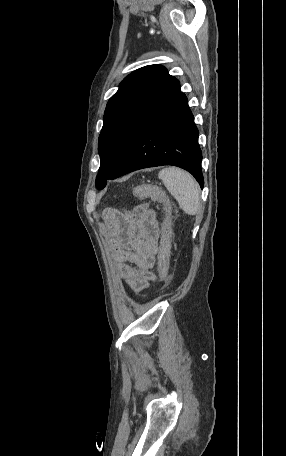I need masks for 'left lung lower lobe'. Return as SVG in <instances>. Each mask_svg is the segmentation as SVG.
<instances>
[{
	"instance_id": "1",
	"label": "left lung lower lobe",
	"mask_w": 286,
	"mask_h": 456,
	"mask_svg": "<svg viewBox=\"0 0 286 456\" xmlns=\"http://www.w3.org/2000/svg\"><path fill=\"white\" fill-rule=\"evenodd\" d=\"M198 134L187 98L179 92L139 133L112 179L142 168L173 165L189 171L203 188Z\"/></svg>"
}]
</instances>
